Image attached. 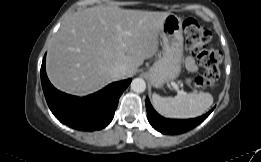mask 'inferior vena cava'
<instances>
[{
  "instance_id": "1",
  "label": "inferior vena cava",
  "mask_w": 261,
  "mask_h": 162,
  "mask_svg": "<svg viewBox=\"0 0 261 162\" xmlns=\"http://www.w3.org/2000/svg\"><path fill=\"white\" fill-rule=\"evenodd\" d=\"M126 74V67L123 65L117 66L113 69V75L116 78H121Z\"/></svg>"
}]
</instances>
